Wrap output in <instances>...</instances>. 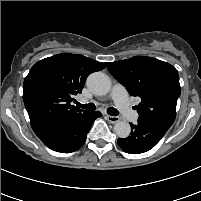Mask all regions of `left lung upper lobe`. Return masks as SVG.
<instances>
[{
	"label": "left lung upper lobe",
	"instance_id": "1",
	"mask_svg": "<svg viewBox=\"0 0 201 201\" xmlns=\"http://www.w3.org/2000/svg\"><path fill=\"white\" fill-rule=\"evenodd\" d=\"M106 66L131 95L141 98V103L136 106L138 121L173 124L181 92L175 67L146 56L106 63Z\"/></svg>",
	"mask_w": 201,
	"mask_h": 201
}]
</instances>
